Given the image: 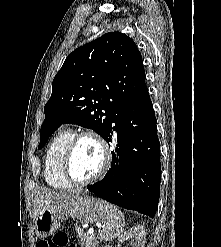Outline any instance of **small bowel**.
I'll list each match as a JSON object with an SVG mask.
<instances>
[{
  "mask_svg": "<svg viewBox=\"0 0 221 247\" xmlns=\"http://www.w3.org/2000/svg\"><path fill=\"white\" fill-rule=\"evenodd\" d=\"M41 242H44V240H40V241L37 243V246H36V247H40V246H39V243H41Z\"/></svg>",
  "mask_w": 221,
  "mask_h": 247,
  "instance_id": "small-bowel-1",
  "label": "small bowel"
}]
</instances>
